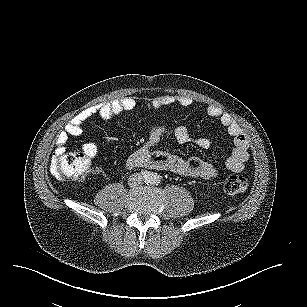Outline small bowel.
<instances>
[{
  "label": "small bowel",
  "instance_id": "1",
  "mask_svg": "<svg viewBox=\"0 0 307 307\" xmlns=\"http://www.w3.org/2000/svg\"><path fill=\"white\" fill-rule=\"evenodd\" d=\"M192 100L185 96L165 95L155 98L152 101L144 102L143 106L159 109L166 106L180 105L188 107ZM136 107V101L131 97H125L108 103L95 105L86 108L74 116L56 138L55 155L64 154L66 145L71 137H78L84 131L86 122L95 115H99L104 120H109L123 112H128ZM208 116L218 119L225 127L228 136L232 139L233 150L226 159V167L233 172H241L249 158V140L242 128L228 112L216 106H208L206 109ZM170 134L169 130L162 126L151 129L145 143L129 155L126 165L129 168L147 166L160 170H169L179 175L209 179L217 175L218 169L210 162L200 158L192 157L183 159L164 152L155 151L154 146L165 136ZM179 143H194L202 149H208L212 145V140L206 137H191L188 129L184 126L177 127L173 132ZM83 152L92 159L97 155L98 148L95 143L88 142L83 145Z\"/></svg>",
  "mask_w": 307,
  "mask_h": 307
}]
</instances>
